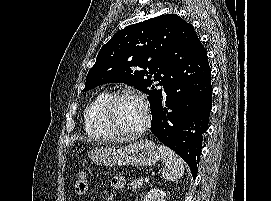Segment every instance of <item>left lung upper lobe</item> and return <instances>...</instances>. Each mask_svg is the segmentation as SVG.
I'll return each mask as SVG.
<instances>
[{"instance_id":"obj_1","label":"left lung upper lobe","mask_w":271,"mask_h":201,"mask_svg":"<svg viewBox=\"0 0 271 201\" xmlns=\"http://www.w3.org/2000/svg\"><path fill=\"white\" fill-rule=\"evenodd\" d=\"M189 31L194 32L192 26L175 14L127 26L103 45L87 74L83 91L113 82L133 86L149 95L153 120L162 98V89L152 85V78L154 81L161 80L158 85L164 87L175 42L181 33Z\"/></svg>"}]
</instances>
